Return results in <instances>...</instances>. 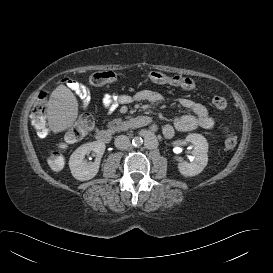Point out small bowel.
Listing matches in <instances>:
<instances>
[{"label":"small bowel","instance_id":"c3829d8e","mask_svg":"<svg viewBox=\"0 0 273 273\" xmlns=\"http://www.w3.org/2000/svg\"><path fill=\"white\" fill-rule=\"evenodd\" d=\"M64 82L83 100L84 105L86 106L90 100L88 88L73 79L67 78ZM184 89L192 90L188 88ZM133 101L160 103L163 101V96L158 91L146 89L139 91L134 96L128 94H108L102 98L101 104L103 109L113 110L118 104H129ZM179 104L182 107L191 110L192 114L179 115L175 117L173 124L163 125L162 133L166 139H171L176 130L179 132H189L198 128L210 129L214 126V119L209 115L207 108L203 104L189 98H180Z\"/></svg>","mask_w":273,"mask_h":273}]
</instances>
